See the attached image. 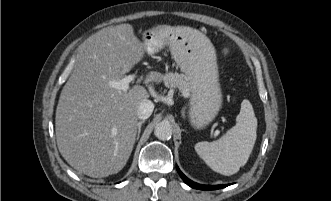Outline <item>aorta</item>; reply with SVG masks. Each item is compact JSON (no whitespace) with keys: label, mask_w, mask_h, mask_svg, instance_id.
Segmentation results:
<instances>
[{"label":"aorta","mask_w":331,"mask_h":201,"mask_svg":"<svg viewBox=\"0 0 331 201\" xmlns=\"http://www.w3.org/2000/svg\"><path fill=\"white\" fill-rule=\"evenodd\" d=\"M155 136L160 140H168L172 136V127L168 122H160L154 130Z\"/></svg>","instance_id":"762f6f07"}]
</instances>
